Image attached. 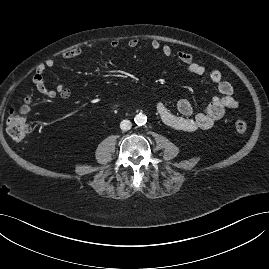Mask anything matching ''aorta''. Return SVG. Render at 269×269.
<instances>
[{"instance_id":"762f6f07","label":"aorta","mask_w":269,"mask_h":269,"mask_svg":"<svg viewBox=\"0 0 269 269\" xmlns=\"http://www.w3.org/2000/svg\"><path fill=\"white\" fill-rule=\"evenodd\" d=\"M134 121L137 125H144L147 121V116L145 114L139 113L135 116Z\"/></svg>"}]
</instances>
